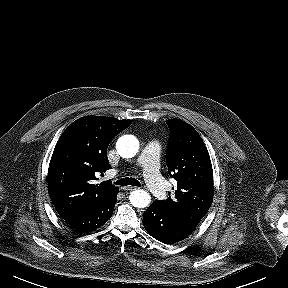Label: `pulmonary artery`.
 Returning a JSON list of instances; mask_svg holds the SVG:
<instances>
[{
  "label": "pulmonary artery",
  "instance_id": "pulmonary-artery-1",
  "mask_svg": "<svg viewBox=\"0 0 288 288\" xmlns=\"http://www.w3.org/2000/svg\"><path fill=\"white\" fill-rule=\"evenodd\" d=\"M159 154V144L150 142L143 148L138 158V164L143 167L144 179L148 189L160 198L166 194L167 184L159 173Z\"/></svg>",
  "mask_w": 288,
  "mask_h": 288
}]
</instances>
